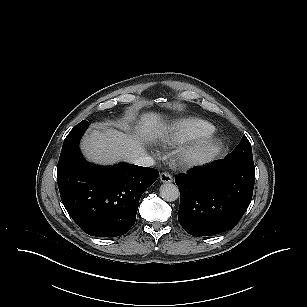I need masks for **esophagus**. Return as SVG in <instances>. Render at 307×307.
<instances>
[{"mask_svg": "<svg viewBox=\"0 0 307 307\" xmlns=\"http://www.w3.org/2000/svg\"><path fill=\"white\" fill-rule=\"evenodd\" d=\"M160 180L163 183H171V182H173L172 176L169 173H167V172H162L160 174Z\"/></svg>", "mask_w": 307, "mask_h": 307, "instance_id": "1", "label": "esophagus"}]
</instances>
